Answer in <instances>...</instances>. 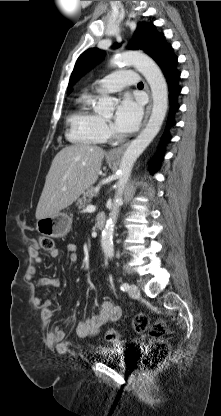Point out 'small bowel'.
<instances>
[{
  "label": "small bowel",
  "mask_w": 221,
  "mask_h": 416,
  "mask_svg": "<svg viewBox=\"0 0 221 416\" xmlns=\"http://www.w3.org/2000/svg\"><path fill=\"white\" fill-rule=\"evenodd\" d=\"M67 253H68V262L70 264H75L78 261V247L75 243H69L66 246ZM51 256L57 257L59 255L58 249H53L50 252ZM42 258L38 252V250L33 249L31 251V263L28 269V277L29 279H33L37 267L41 265ZM37 286L45 287H59L60 281L54 277H41L36 281ZM35 304L41 307L42 316L46 320H50L53 317L54 309L53 303L49 299H42L39 296L35 297ZM121 316V308L114 304L110 300H104L99 309V313L90 320L80 321L76 327V333L79 337H89L96 335L103 326H105L109 322L117 321ZM65 333L61 329H57L54 331V338L56 341L60 342L64 339Z\"/></svg>",
  "instance_id": "obj_1"
}]
</instances>
